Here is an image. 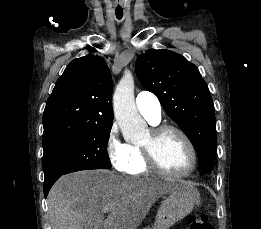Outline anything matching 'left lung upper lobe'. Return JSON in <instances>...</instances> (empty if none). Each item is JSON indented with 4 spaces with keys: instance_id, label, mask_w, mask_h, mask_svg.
<instances>
[{
    "instance_id": "left-lung-upper-lobe-1",
    "label": "left lung upper lobe",
    "mask_w": 261,
    "mask_h": 229,
    "mask_svg": "<svg viewBox=\"0 0 261 229\" xmlns=\"http://www.w3.org/2000/svg\"><path fill=\"white\" fill-rule=\"evenodd\" d=\"M142 86L154 93L167 114L192 142L201 174L214 170L216 156L215 112L208 86L197 67L182 55L151 49L136 61Z\"/></svg>"
}]
</instances>
